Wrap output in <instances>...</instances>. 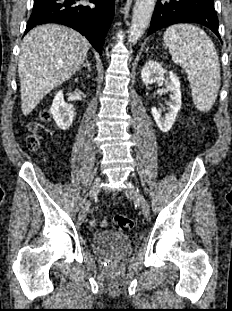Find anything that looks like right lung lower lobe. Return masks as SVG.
<instances>
[{
  "instance_id": "obj_1",
  "label": "right lung lower lobe",
  "mask_w": 232,
  "mask_h": 311,
  "mask_svg": "<svg viewBox=\"0 0 232 311\" xmlns=\"http://www.w3.org/2000/svg\"><path fill=\"white\" fill-rule=\"evenodd\" d=\"M89 1L96 7L82 5L80 0H35L25 34L40 24H63L84 35L101 54L113 19L114 0Z\"/></svg>"
}]
</instances>
